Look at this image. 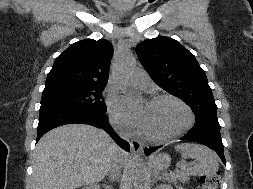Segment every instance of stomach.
Returning a JSON list of instances; mask_svg holds the SVG:
<instances>
[{
    "label": "stomach",
    "instance_id": "stomach-1",
    "mask_svg": "<svg viewBox=\"0 0 253 189\" xmlns=\"http://www.w3.org/2000/svg\"><path fill=\"white\" fill-rule=\"evenodd\" d=\"M171 158L166 153L156 154L152 157V164L156 170H165L169 167Z\"/></svg>",
    "mask_w": 253,
    "mask_h": 189
}]
</instances>
